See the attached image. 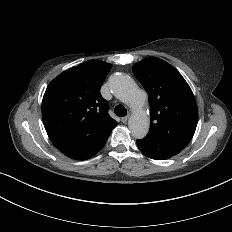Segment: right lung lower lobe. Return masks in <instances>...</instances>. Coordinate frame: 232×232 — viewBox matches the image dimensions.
<instances>
[{
    "label": "right lung lower lobe",
    "instance_id": "98d812e1",
    "mask_svg": "<svg viewBox=\"0 0 232 232\" xmlns=\"http://www.w3.org/2000/svg\"><path fill=\"white\" fill-rule=\"evenodd\" d=\"M107 139L92 148L76 149V150H60V151L69 158L75 160H86L94 156L96 153H98L106 143Z\"/></svg>",
    "mask_w": 232,
    "mask_h": 232
}]
</instances>
